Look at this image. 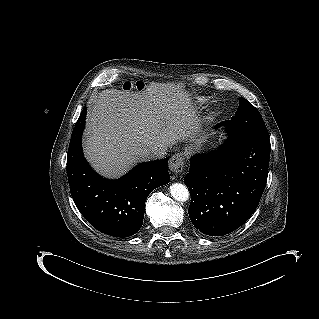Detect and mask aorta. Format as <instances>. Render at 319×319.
<instances>
[{"mask_svg": "<svg viewBox=\"0 0 319 319\" xmlns=\"http://www.w3.org/2000/svg\"><path fill=\"white\" fill-rule=\"evenodd\" d=\"M170 194L179 202H185L189 199V191L187 187L181 183L172 184L170 186Z\"/></svg>", "mask_w": 319, "mask_h": 319, "instance_id": "762f6f07", "label": "aorta"}]
</instances>
